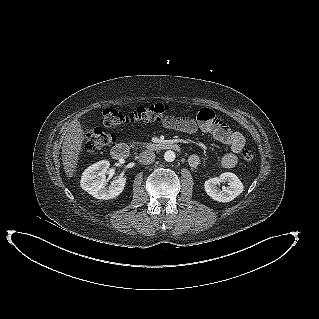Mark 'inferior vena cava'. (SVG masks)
Instances as JSON below:
<instances>
[{"instance_id": "602c4592", "label": "inferior vena cava", "mask_w": 319, "mask_h": 319, "mask_svg": "<svg viewBox=\"0 0 319 319\" xmlns=\"http://www.w3.org/2000/svg\"><path fill=\"white\" fill-rule=\"evenodd\" d=\"M156 155L152 151H143L139 155V162L143 165H149L154 162Z\"/></svg>"}]
</instances>
